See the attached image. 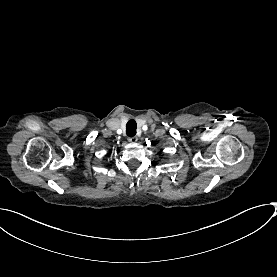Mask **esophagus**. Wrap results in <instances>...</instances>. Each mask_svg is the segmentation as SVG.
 Instances as JSON below:
<instances>
[{"label":"esophagus","mask_w":277,"mask_h":277,"mask_svg":"<svg viewBox=\"0 0 277 277\" xmlns=\"http://www.w3.org/2000/svg\"><path fill=\"white\" fill-rule=\"evenodd\" d=\"M128 141L130 143H136L138 141V137L137 136H133V137H129L128 138Z\"/></svg>","instance_id":"obj_1"}]
</instances>
